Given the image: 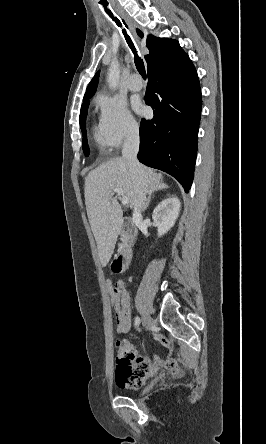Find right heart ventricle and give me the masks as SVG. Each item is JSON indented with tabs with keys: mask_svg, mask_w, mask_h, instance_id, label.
<instances>
[{
	"mask_svg": "<svg viewBox=\"0 0 266 444\" xmlns=\"http://www.w3.org/2000/svg\"><path fill=\"white\" fill-rule=\"evenodd\" d=\"M94 139L97 145L100 147V149L104 152H106L107 143L105 142L101 131L98 128H94Z\"/></svg>",
	"mask_w": 266,
	"mask_h": 444,
	"instance_id": "obj_1",
	"label": "right heart ventricle"
}]
</instances>
